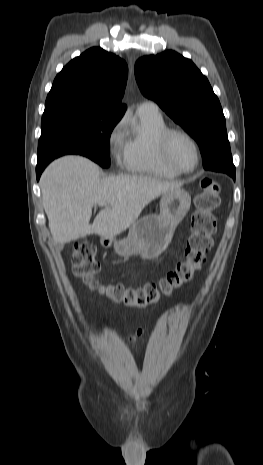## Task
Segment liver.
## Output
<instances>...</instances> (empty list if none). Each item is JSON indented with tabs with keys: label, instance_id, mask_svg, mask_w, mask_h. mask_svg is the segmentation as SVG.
<instances>
[{
	"label": "liver",
	"instance_id": "1",
	"mask_svg": "<svg viewBox=\"0 0 263 465\" xmlns=\"http://www.w3.org/2000/svg\"><path fill=\"white\" fill-rule=\"evenodd\" d=\"M182 183L142 175L100 178L99 167L81 156H64L43 172L40 187L49 228L56 243L86 235L114 237L133 225L142 210ZM103 204L92 224L94 205Z\"/></svg>",
	"mask_w": 263,
	"mask_h": 465
}]
</instances>
